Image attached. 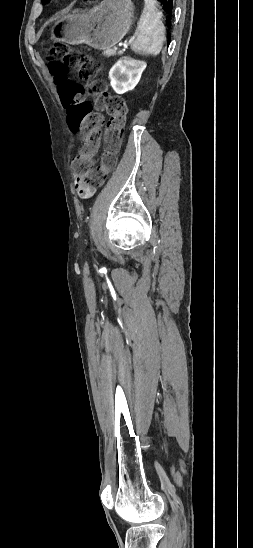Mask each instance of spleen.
<instances>
[{
  "label": "spleen",
  "instance_id": "1",
  "mask_svg": "<svg viewBox=\"0 0 253 548\" xmlns=\"http://www.w3.org/2000/svg\"><path fill=\"white\" fill-rule=\"evenodd\" d=\"M145 6L138 22V36L132 43V50L139 54L156 56L165 41V27L161 21L162 13L156 7L155 0H144Z\"/></svg>",
  "mask_w": 253,
  "mask_h": 548
}]
</instances>
